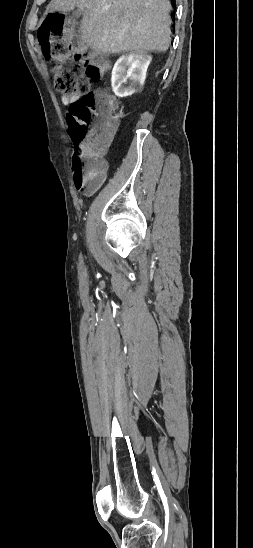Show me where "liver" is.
<instances>
[{
    "mask_svg": "<svg viewBox=\"0 0 253 548\" xmlns=\"http://www.w3.org/2000/svg\"><path fill=\"white\" fill-rule=\"evenodd\" d=\"M82 13V41L101 54L165 52L171 42L168 0H51L47 12Z\"/></svg>",
    "mask_w": 253,
    "mask_h": 548,
    "instance_id": "1",
    "label": "liver"
}]
</instances>
